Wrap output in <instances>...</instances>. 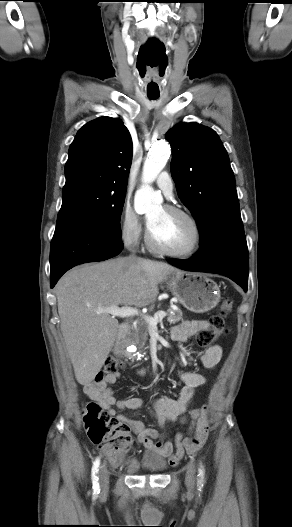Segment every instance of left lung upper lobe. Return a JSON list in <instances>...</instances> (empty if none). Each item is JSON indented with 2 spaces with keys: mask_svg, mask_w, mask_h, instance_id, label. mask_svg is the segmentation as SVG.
I'll use <instances>...</instances> for the list:
<instances>
[{
  "mask_svg": "<svg viewBox=\"0 0 292 527\" xmlns=\"http://www.w3.org/2000/svg\"><path fill=\"white\" fill-rule=\"evenodd\" d=\"M166 138L172 145V176L196 219L200 248L245 239L234 174L217 133L197 123H180Z\"/></svg>",
  "mask_w": 292,
  "mask_h": 527,
  "instance_id": "left-lung-upper-lobe-1",
  "label": "left lung upper lobe"
}]
</instances>
